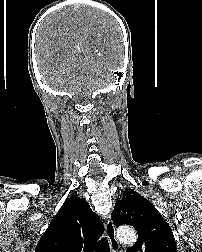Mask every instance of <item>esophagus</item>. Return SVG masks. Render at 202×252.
I'll use <instances>...</instances> for the list:
<instances>
[{"instance_id": "esophagus-1", "label": "esophagus", "mask_w": 202, "mask_h": 252, "mask_svg": "<svg viewBox=\"0 0 202 252\" xmlns=\"http://www.w3.org/2000/svg\"><path fill=\"white\" fill-rule=\"evenodd\" d=\"M104 219H105V233L111 245L112 252H118L119 244L116 240L115 226L109 216L104 217Z\"/></svg>"}]
</instances>
